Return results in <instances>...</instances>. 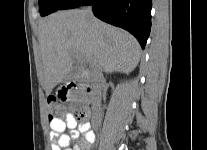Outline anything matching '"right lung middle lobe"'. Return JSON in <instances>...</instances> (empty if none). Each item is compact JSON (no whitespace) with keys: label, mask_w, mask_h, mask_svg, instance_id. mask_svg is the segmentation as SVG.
Instances as JSON below:
<instances>
[{"label":"right lung middle lobe","mask_w":207,"mask_h":150,"mask_svg":"<svg viewBox=\"0 0 207 150\" xmlns=\"http://www.w3.org/2000/svg\"><path fill=\"white\" fill-rule=\"evenodd\" d=\"M67 0H39L41 16L49 15L61 8Z\"/></svg>","instance_id":"1"}]
</instances>
